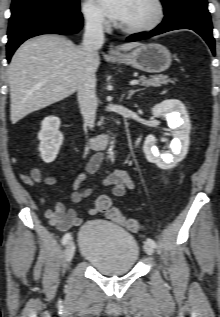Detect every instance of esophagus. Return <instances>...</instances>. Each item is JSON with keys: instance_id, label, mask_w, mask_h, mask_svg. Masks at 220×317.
I'll return each mask as SVG.
<instances>
[{"instance_id": "obj_1", "label": "esophagus", "mask_w": 220, "mask_h": 317, "mask_svg": "<svg viewBox=\"0 0 220 317\" xmlns=\"http://www.w3.org/2000/svg\"><path fill=\"white\" fill-rule=\"evenodd\" d=\"M108 53L111 56L117 55L118 54V50L111 44Z\"/></svg>"}]
</instances>
